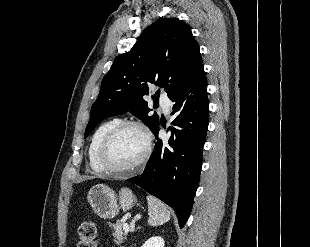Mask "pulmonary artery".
<instances>
[{
  "instance_id": "obj_1",
  "label": "pulmonary artery",
  "mask_w": 310,
  "mask_h": 247,
  "mask_svg": "<svg viewBox=\"0 0 310 247\" xmlns=\"http://www.w3.org/2000/svg\"><path fill=\"white\" fill-rule=\"evenodd\" d=\"M159 101H160V105L163 108L164 112L169 113L171 106H172L171 100L166 95H161Z\"/></svg>"
}]
</instances>
